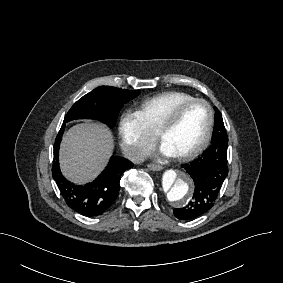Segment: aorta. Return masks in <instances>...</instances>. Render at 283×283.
<instances>
[{"label": "aorta", "instance_id": "762f6f07", "mask_svg": "<svg viewBox=\"0 0 283 283\" xmlns=\"http://www.w3.org/2000/svg\"><path fill=\"white\" fill-rule=\"evenodd\" d=\"M193 180L182 170H167L161 179L160 195L170 204L182 207L191 199Z\"/></svg>", "mask_w": 283, "mask_h": 283}]
</instances>
